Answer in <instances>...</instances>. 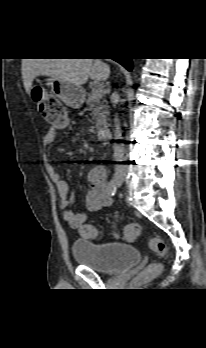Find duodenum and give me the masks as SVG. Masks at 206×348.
I'll return each instance as SVG.
<instances>
[{
  "instance_id": "obj_1",
  "label": "duodenum",
  "mask_w": 206,
  "mask_h": 348,
  "mask_svg": "<svg viewBox=\"0 0 206 348\" xmlns=\"http://www.w3.org/2000/svg\"><path fill=\"white\" fill-rule=\"evenodd\" d=\"M111 135H112V130L107 127L101 129L98 133V137L104 140L110 138Z\"/></svg>"
}]
</instances>
